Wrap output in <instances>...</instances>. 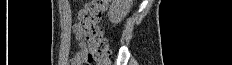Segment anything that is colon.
Returning a JSON list of instances; mask_svg holds the SVG:
<instances>
[{"label":"colon","mask_w":232,"mask_h":65,"mask_svg":"<svg viewBox=\"0 0 232 65\" xmlns=\"http://www.w3.org/2000/svg\"><path fill=\"white\" fill-rule=\"evenodd\" d=\"M107 5L108 0H91L80 12L88 64L94 62L97 65H108L110 61L108 41L103 36V30L99 25Z\"/></svg>","instance_id":"1"}]
</instances>
